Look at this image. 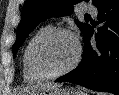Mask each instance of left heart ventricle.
I'll use <instances>...</instances> for the list:
<instances>
[{
	"mask_svg": "<svg viewBox=\"0 0 119 95\" xmlns=\"http://www.w3.org/2000/svg\"><path fill=\"white\" fill-rule=\"evenodd\" d=\"M76 43L65 34H59L48 40L41 48L39 62L48 72H57L66 68L75 58Z\"/></svg>",
	"mask_w": 119,
	"mask_h": 95,
	"instance_id": "1",
	"label": "left heart ventricle"
}]
</instances>
